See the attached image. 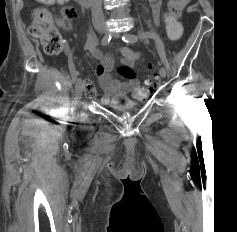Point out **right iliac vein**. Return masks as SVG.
<instances>
[{
	"instance_id": "63e3f726",
	"label": "right iliac vein",
	"mask_w": 237,
	"mask_h": 232,
	"mask_svg": "<svg viewBox=\"0 0 237 232\" xmlns=\"http://www.w3.org/2000/svg\"><path fill=\"white\" fill-rule=\"evenodd\" d=\"M97 31L99 33H103L105 31V26H102V25L98 26ZM82 92H83V83H82L81 78H78L76 82V87H75V96H76L77 102H80L81 97H82Z\"/></svg>"
}]
</instances>
